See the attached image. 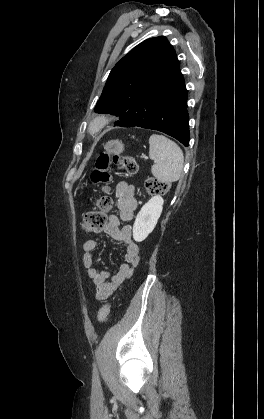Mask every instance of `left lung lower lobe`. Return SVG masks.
Returning a JSON list of instances; mask_svg holds the SVG:
<instances>
[{
  "label": "left lung lower lobe",
  "instance_id": "left-lung-lower-lobe-1",
  "mask_svg": "<svg viewBox=\"0 0 264 419\" xmlns=\"http://www.w3.org/2000/svg\"><path fill=\"white\" fill-rule=\"evenodd\" d=\"M115 124L121 127H142L166 133L185 146L189 144L187 90L182 74L161 83L143 97Z\"/></svg>",
  "mask_w": 264,
  "mask_h": 419
}]
</instances>
